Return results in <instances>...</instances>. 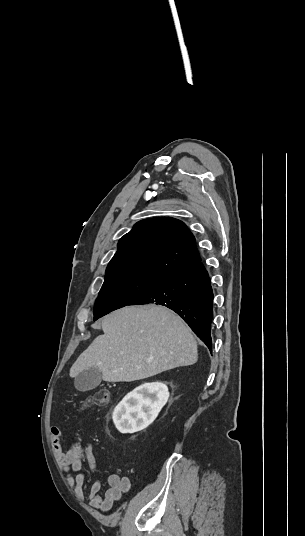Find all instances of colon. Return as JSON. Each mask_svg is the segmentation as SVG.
<instances>
[{
	"label": "colon",
	"instance_id": "1",
	"mask_svg": "<svg viewBox=\"0 0 305 536\" xmlns=\"http://www.w3.org/2000/svg\"><path fill=\"white\" fill-rule=\"evenodd\" d=\"M109 401V392L107 390H100L94 394L89 395L85 398L83 401V408L91 406V405H97L102 406L107 404ZM78 452H85L86 446L85 445H78L77 446Z\"/></svg>",
	"mask_w": 305,
	"mask_h": 536
}]
</instances>
